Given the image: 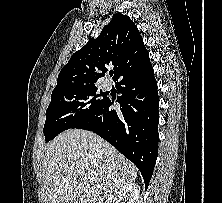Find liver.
Instances as JSON below:
<instances>
[{
	"instance_id": "1",
	"label": "liver",
	"mask_w": 222,
	"mask_h": 203,
	"mask_svg": "<svg viewBox=\"0 0 222 203\" xmlns=\"http://www.w3.org/2000/svg\"><path fill=\"white\" fill-rule=\"evenodd\" d=\"M42 166L46 203H103L137 177L136 167L111 144L81 129L55 137Z\"/></svg>"
}]
</instances>
